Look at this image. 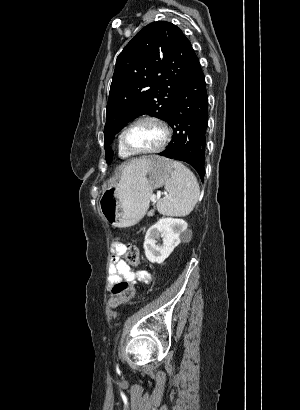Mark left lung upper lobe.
<instances>
[{
  "label": "left lung upper lobe",
  "mask_w": 300,
  "mask_h": 410,
  "mask_svg": "<svg viewBox=\"0 0 300 410\" xmlns=\"http://www.w3.org/2000/svg\"><path fill=\"white\" fill-rule=\"evenodd\" d=\"M197 58L190 41L174 24L145 26L118 55L106 107L104 148L130 120L143 115L167 120L178 91Z\"/></svg>",
  "instance_id": "1"
}]
</instances>
